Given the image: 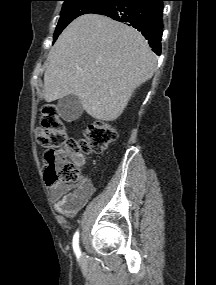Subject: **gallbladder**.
<instances>
[{
  "label": "gallbladder",
  "mask_w": 216,
  "mask_h": 285,
  "mask_svg": "<svg viewBox=\"0 0 216 285\" xmlns=\"http://www.w3.org/2000/svg\"><path fill=\"white\" fill-rule=\"evenodd\" d=\"M57 110L63 120L72 122L82 115L83 107L77 96L67 95L58 101Z\"/></svg>",
  "instance_id": "gallbladder-1"
}]
</instances>
